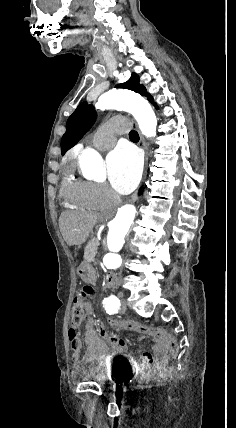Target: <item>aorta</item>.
Instances as JSON below:
<instances>
[{"label": "aorta", "instance_id": "aorta-1", "mask_svg": "<svg viewBox=\"0 0 236 428\" xmlns=\"http://www.w3.org/2000/svg\"><path fill=\"white\" fill-rule=\"evenodd\" d=\"M96 109H118L133 115L138 122L139 128L146 137L156 135L157 119L155 113L148 103L140 95L128 90H111L98 99ZM80 166L88 171L93 178L103 177V162L98 152L87 148L80 157ZM136 208L133 205H124L118 209L115 218L109 223L107 235L108 252L103 258V263L108 269H117L122 264L119 251L125 243V236L135 218Z\"/></svg>", "mask_w": 236, "mask_h": 428}]
</instances>
